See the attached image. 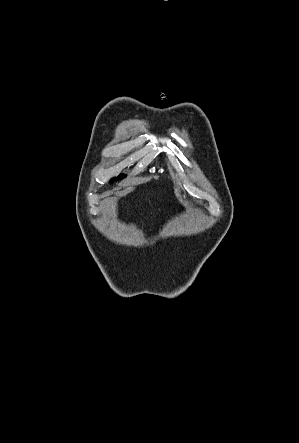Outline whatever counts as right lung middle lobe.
Instances as JSON below:
<instances>
[{
	"instance_id": "dd1d6c3e",
	"label": "right lung middle lobe",
	"mask_w": 299,
	"mask_h": 443,
	"mask_svg": "<svg viewBox=\"0 0 299 443\" xmlns=\"http://www.w3.org/2000/svg\"><path fill=\"white\" fill-rule=\"evenodd\" d=\"M124 176H125L124 174H121V175H119L117 178H113L110 182L117 181V180L121 179V178L124 177Z\"/></svg>"
}]
</instances>
